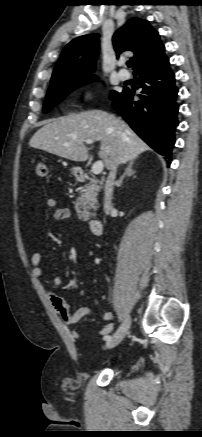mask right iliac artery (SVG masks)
<instances>
[{
    "label": "right iliac artery",
    "mask_w": 202,
    "mask_h": 437,
    "mask_svg": "<svg viewBox=\"0 0 202 437\" xmlns=\"http://www.w3.org/2000/svg\"><path fill=\"white\" fill-rule=\"evenodd\" d=\"M111 338V336L107 335L104 337L105 340H109Z\"/></svg>",
    "instance_id": "82829eb1"
}]
</instances>
